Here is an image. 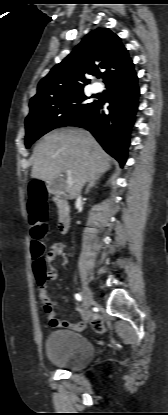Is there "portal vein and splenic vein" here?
Instances as JSON below:
<instances>
[{
    "label": "portal vein and splenic vein",
    "instance_id": "18ae733b",
    "mask_svg": "<svg viewBox=\"0 0 168 415\" xmlns=\"http://www.w3.org/2000/svg\"><path fill=\"white\" fill-rule=\"evenodd\" d=\"M66 173H67V176H68V179H67L66 183H67V187L70 189L73 186V181L71 179V171L67 170Z\"/></svg>",
    "mask_w": 168,
    "mask_h": 415
}]
</instances>
